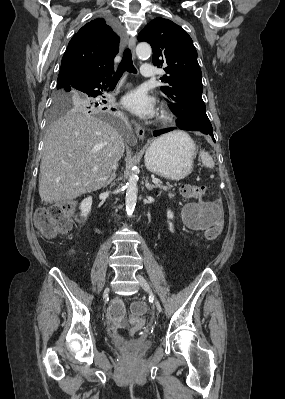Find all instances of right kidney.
Returning <instances> with one entry per match:
<instances>
[{"label":"right kidney","mask_w":285,"mask_h":399,"mask_svg":"<svg viewBox=\"0 0 285 399\" xmlns=\"http://www.w3.org/2000/svg\"><path fill=\"white\" fill-rule=\"evenodd\" d=\"M91 206H92L91 197H87L81 202L80 205L81 216L84 217L85 219L87 218L88 214L91 212Z\"/></svg>","instance_id":"ca27d5eb"}]
</instances>
